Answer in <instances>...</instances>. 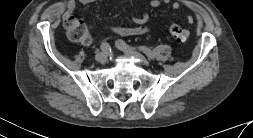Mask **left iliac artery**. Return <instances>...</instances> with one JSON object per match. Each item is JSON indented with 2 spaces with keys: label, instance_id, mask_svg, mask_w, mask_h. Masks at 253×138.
Returning <instances> with one entry per match:
<instances>
[{
  "label": "left iliac artery",
  "instance_id": "44dca946",
  "mask_svg": "<svg viewBox=\"0 0 253 138\" xmlns=\"http://www.w3.org/2000/svg\"><path fill=\"white\" fill-rule=\"evenodd\" d=\"M116 45L119 49H131V50H137L138 49V50L142 51L144 54H146L150 59H154L153 52L147 47H144V46L134 47V46L128 45L123 40H118L116 42Z\"/></svg>",
  "mask_w": 253,
  "mask_h": 138
}]
</instances>
